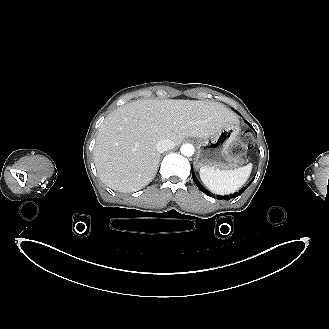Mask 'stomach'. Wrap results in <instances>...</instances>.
<instances>
[{"mask_svg": "<svg viewBox=\"0 0 329 329\" xmlns=\"http://www.w3.org/2000/svg\"><path fill=\"white\" fill-rule=\"evenodd\" d=\"M240 124L234 121L223 126L210 138L199 141L195 166L214 170H233L245 163L244 155L232 152L242 144L239 140Z\"/></svg>", "mask_w": 329, "mask_h": 329, "instance_id": "obj_1", "label": "stomach"}]
</instances>
